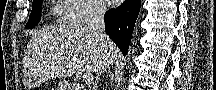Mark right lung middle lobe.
Instances as JSON below:
<instances>
[{
	"mask_svg": "<svg viewBox=\"0 0 216 90\" xmlns=\"http://www.w3.org/2000/svg\"><path fill=\"white\" fill-rule=\"evenodd\" d=\"M42 2L43 0H33V8L26 29H32L39 23Z\"/></svg>",
	"mask_w": 216,
	"mask_h": 90,
	"instance_id": "dd1d6c3e",
	"label": "right lung middle lobe"
}]
</instances>
